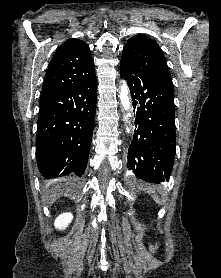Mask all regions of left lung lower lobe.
Segmentation results:
<instances>
[{"instance_id": "1", "label": "left lung lower lobe", "mask_w": 221, "mask_h": 278, "mask_svg": "<svg viewBox=\"0 0 221 278\" xmlns=\"http://www.w3.org/2000/svg\"><path fill=\"white\" fill-rule=\"evenodd\" d=\"M131 90L135 111L128 168L138 179L169 181L176 151L174 89L169 81L120 69Z\"/></svg>"}]
</instances>
